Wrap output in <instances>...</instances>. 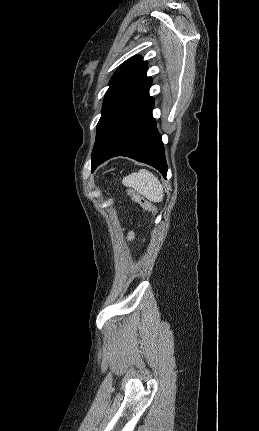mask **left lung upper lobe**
Here are the masks:
<instances>
[{
  "instance_id": "obj_1",
  "label": "left lung upper lobe",
  "mask_w": 259,
  "mask_h": 431,
  "mask_svg": "<svg viewBox=\"0 0 259 431\" xmlns=\"http://www.w3.org/2000/svg\"><path fill=\"white\" fill-rule=\"evenodd\" d=\"M146 71L147 61H143L140 56H133L126 60L112 76L103 101L92 156L116 125L149 97L152 79L146 76Z\"/></svg>"
}]
</instances>
